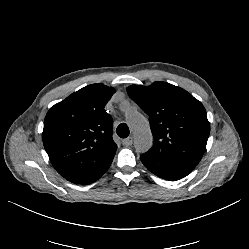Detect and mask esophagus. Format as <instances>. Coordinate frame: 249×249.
Instances as JSON below:
<instances>
[{
	"label": "esophagus",
	"instance_id": "esophagus-1",
	"mask_svg": "<svg viewBox=\"0 0 249 249\" xmlns=\"http://www.w3.org/2000/svg\"><path fill=\"white\" fill-rule=\"evenodd\" d=\"M132 143H133L132 137H128V138L122 140V144L124 146H130V145H132Z\"/></svg>",
	"mask_w": 249,
	"mask_h": 249
}]
</instances>
